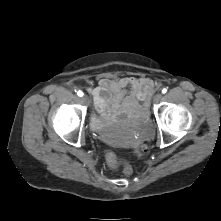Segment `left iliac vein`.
<instances>
[{
	"label": "left iliac vein",
	"mask_w": 221,
	"mask_h": 221,
	"mask_svg": "<svg viewBox=\"0 0 221 221\" xmlns=\"http://www.w3.org/2000/svg\"><path fill=\"white\" fill-rule=\"evenodd\" d=\"M162 98V94L161 93H157L155 94V96L153 97V102L154 103H158Z\"/></svg>",
	"instance_id": "1"
}]
</instances>
